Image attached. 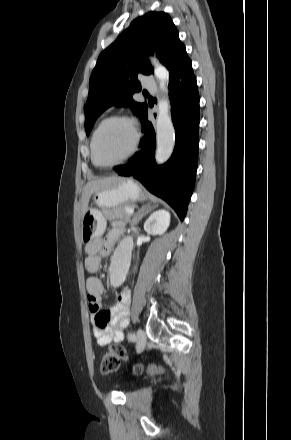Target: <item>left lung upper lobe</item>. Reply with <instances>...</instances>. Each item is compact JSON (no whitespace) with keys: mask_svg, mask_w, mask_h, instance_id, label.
<instances>
[{"mask_svg":"<svg viewBox=\"0 0 291 440\" xmlns=\"http://www.w3.org/2000/svg\"><path fill=\"white\" fill-rule=\"evenodd\" d=\"M154 53L169 71L186 53L176 26L164 12H148L136 18L100 54L84 107L87 135L99 115L112 105H129L143 119L148 105L134 101L133 94L141 91L138 74L153 73L147 55Z\"/></svg>","mask_w":291,"mask_h":440,"instance_id":"obj_1","label":"left lung upper lobe"}]
</instances>
